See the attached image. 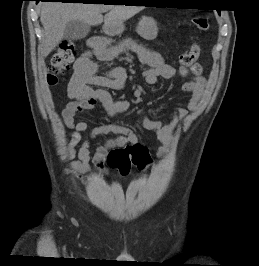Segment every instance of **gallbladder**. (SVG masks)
<instances>
[{
  "instance_id": "gallbladder-1",
  "label": "gallbladder",
  "mask_w": 259,
  "mask_h": 266,
  "mask_svg": "<svg viewBox=\"0 0 259 266\" xmlns=\"http://www.w3.org/2000/svg\"><path fill=\"white\" fill-rule=\"evenodd\" d=\"M91 26L79 20H73L66 24L64 29V38L69 40H80L85 38Z\"/></svg>"
}]
</instances>
